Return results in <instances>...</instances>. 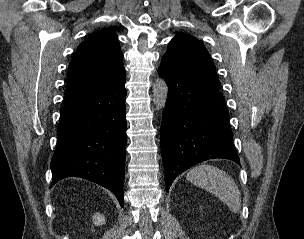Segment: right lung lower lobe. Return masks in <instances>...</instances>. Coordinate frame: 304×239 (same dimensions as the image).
Segmentation results:
<instances>
[{"label":"right lung lower lobe","instance_id":"obj_1","mask_svg":"<svg viewBox=\"0 0 304 239\" xmlns=\"http://www.w3.org/2000/svg\"><path fill=\"white\" fill-rule=\"evenodd\" d=\"M126 74L60 110L52 184L81 177L111 190L123 206L126 148Z\"/></svg>","mask_w":304,"mask_h":239}]
</instances>
